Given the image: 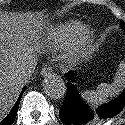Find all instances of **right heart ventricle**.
Wrapping results in <instances>:
<instances>
[{
  "label": "right heart ventricle",
  "instance_id": "1",
  "mask_svg": "<svg viewBox=\"0 0 125 125\" xmlns=\"http://www.w3.org/2000/svg\"><path fill=\"white\" fill-rule=\"evenodd\" d=\"M86 26L80 22H69L56 28L47 38L50 47L65 49L75 44L85 33Z\"/></svg>",
  "mask_w": 125,
  "mask_h": 125
}]
</instances>
